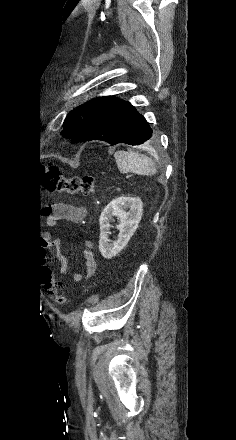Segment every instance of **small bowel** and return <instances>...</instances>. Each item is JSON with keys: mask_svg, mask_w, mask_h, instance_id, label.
I'll list each match as a JSON object with an SVG mask.
<instances>
[{"mask_svg": "<svg viewBox=\"0 0 236 440\" xmlns=\"http://www.w3.org/2000/svg\"><path fill=\"white\" fill-rule=\"evenodd\" d=\"M86 216V209L80 206H73L64 203L55 204L52 208V213L48 217V223L51 226H56L60 222L65 221L71 224L80 223ZM55 246H59L57 240L54 241ZM83 255L85 259L84 272H75L72 278L75 282H81L92 277L97 268V262L92 252V245L90 242H84ZM60 273L66 275L68 272V261L64 256H60Z\"/></svg>", "mask_w": 236, "mask_h": 440, "instance_id": "small-bowel-1", "label": "small bowel"}]
</instances>
